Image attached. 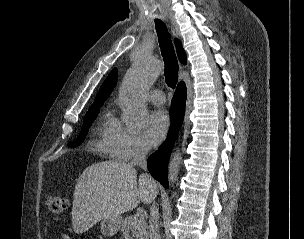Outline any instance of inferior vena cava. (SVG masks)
<instances>
[{
  "instance_id": "obj_1",
  "label": "inferior vena cava",
  "mask_w": 304,
  "mask_h": 239,
  "mask_svg": "<svg viewBox=\"0 0 304 239\" xmlns=\"http://www.w3.org/2000/svg\"><path fill=\"white\" fill-rule=\"evenodd\" d=\"M146 155H147V149L142 146L138 147L133 155L130 165L133 167L140 166L141 168L146 170L147 169ZM143 177L147 180L149 184L154 183V181L147 173L143 174ZM158 218H159V208L153 199L152 206L150 208V217H149L150 239H160V236L158 235V228H159Z\"/></svg>"
}]
</instances>
